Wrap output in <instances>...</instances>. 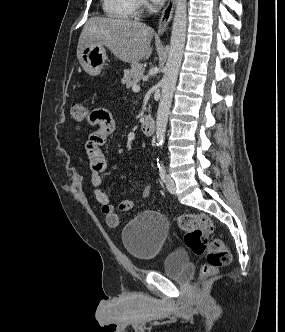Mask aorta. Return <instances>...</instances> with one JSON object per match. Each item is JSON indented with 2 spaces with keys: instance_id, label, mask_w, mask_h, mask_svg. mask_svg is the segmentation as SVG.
Listing matches in <instances>:
<instances>
[{
  "instance_id": "1",
  "label": "aorta",
  "mask_w": 285,
  "mask_h": 332,
  "mask_svg": "<svg viewBox=\"0 0 285 332\" xmlns=\"http://www.w3.org/2000/svg\"><path fill=\"white\" fill-rule=\"evenodd\" d=\"M186 29L187 0H177L170 39L169 55L165 66L164 76L161 80V99L156 119V139L157 145L160 147L163 146L165 141L168 115L184 52Z\"/></svg>"
}]
</instances>
